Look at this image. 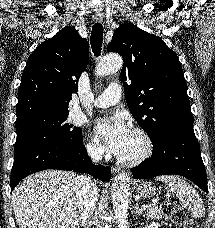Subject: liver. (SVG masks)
I'll return each mask as SVG.
<instances>
[{
  "mask_svg": "<svg viewBox=\"0 0 215 228\" xmlns=\"http://www.w3.org/2000/svg\"><path fill=\"white\" fill-rule=\"evenodd\" d=\"M74 172L44 170L22 180L12 192L19 228H80Z\"/></svg>",
  "mask_w": 215,
  "mask_h": 228,
  "instance_id": "6515ba94",
  "label": "liver"
}]
</instances>
